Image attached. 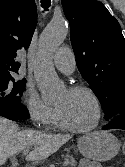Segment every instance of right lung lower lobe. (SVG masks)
I'll return each mask as SVG.
<instances>
[{
  "label": "right lung lower lobe",
  "mask_w": 125,
  "mask_h": 167,
  "mask_svg": "<svg viewBox=\"0 0 125 167\" xmlns=\"http://www.w3.org/2000/svg\"><path fill=\"white\" fill-rule=\"evenodd\" d=\"M0 116L13 121L28 119L30 117L28 109L21 103H11L0 100Z\"/></svg>",
  "instance_id": "98d812e1"
}]
</instances>
